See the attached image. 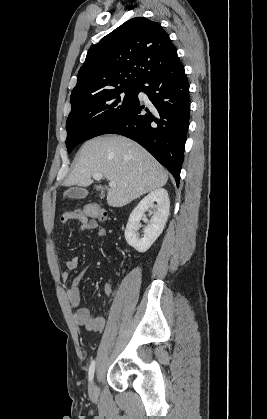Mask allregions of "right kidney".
Returning <instances> with one entry per match:
<instances>
[{
  "mask_svg": "<svg viewBox=\"0 0 267 419\" xmlns=\"http://www.w3.org/2000/svg\"><path fill=\"white\" fill-rule=\"evenodd\" d=\"M157 203V211L153 214L150 224L144 229V235L139 238L137 231L144 212ZM170 200L164 188H158L145 196L130 214L125 229L127 243L138 252H146L162 233L169 216Z\"/></svg>",
  "mask_w": 267,
  "mask_h": 419,
  "instance_id": "1",
  "label": "right kidney"
}]
</instances>
